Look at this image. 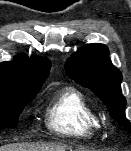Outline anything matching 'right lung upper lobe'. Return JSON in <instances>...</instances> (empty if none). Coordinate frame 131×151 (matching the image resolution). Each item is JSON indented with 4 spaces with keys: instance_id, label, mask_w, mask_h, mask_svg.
Returning <instances> with one entry per match:
<instances>
[{
    "instance_id": "cb5924a9",
    "label": "right lung upper lobe",
    "mask_w": 131,
    "mask_h": 151,
    "mask_svg": "<svg viewBox=\"0 0 131 151\" xmlns=\"http://www.w3.org/2000/svg\"><path fill=\"white\" fill-rule=\"evenodd\" d=\"M48 59L19 56L11 62L0 63V86L19 88H41L49 74Z\"/></svg>"
}]
</instances>
